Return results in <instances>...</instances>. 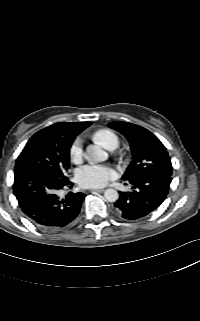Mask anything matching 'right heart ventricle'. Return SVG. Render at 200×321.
Returning <instances> with one entry per match:
<instances>
[{
    "label": "right heart ventricle",
    "mask_w": 200,
    "mask_h": 321,
    "mask_svg": "<svg viewBox=\"0 0 200 321\" xmlns=\"http://www.w3.org/2000/svg\"><path fill=\"white\" fill-rule=\"evenodd\" d=\"M93 139L100 143L103 147L107 149H115L119 143L120 139L118 135L107 128L99 129L93 134Z\"/></svg>",
    "instance_id": "obj_1"
}]
</instances>
